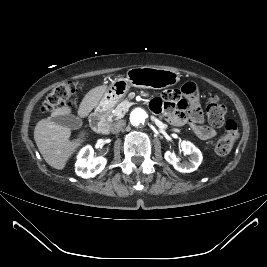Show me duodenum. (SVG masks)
<instances>
[{"instance_id": "410a0bca", "label": "duodenum", "mask_w": 267, "mask_h": 267, "mask_svg": "<svg viewBox=\"0 0 267 267\" xmlns=\"http://www.w3.org/2000/svg\"><path fill=\"white\" fill-rule=\"evenodd\" d=\"M90 123L93 130L99 134H105L108 131V123L102 110L93 112L90 116Z\"/></svg>"}]
</instances>
